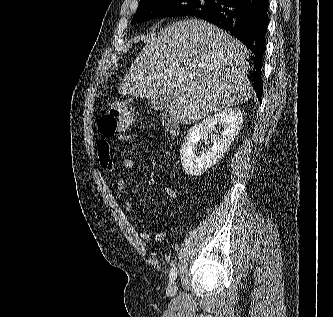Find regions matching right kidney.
<instances>
[{"instance_id":"right-kidney-1","label":"right kidney","mask_w":333,"mask_h":317,"mask_svg":"<svg viewBox=\"0 0 333 317\" xmlns=\"http://www.w3.org/2000/svg\"><path fill=\"white\" fill-rule=\"evenodd\" d=\"M243 113L237 108H226L208 116L200 124L192 126L180 149V159L185 172L190 176H198L215 165L226 153L237 136L243 123ZM217 124H223L221 134H212ZM211 133V147L195 154V148L201 138Z\"/></svg>"}]
</instances>
